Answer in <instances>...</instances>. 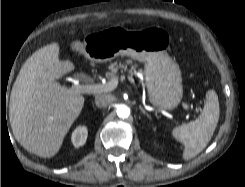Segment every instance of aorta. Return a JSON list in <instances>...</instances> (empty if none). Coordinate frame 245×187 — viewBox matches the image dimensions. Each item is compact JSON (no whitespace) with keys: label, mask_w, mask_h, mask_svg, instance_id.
<instances>
[{"label":"aorta","mask_w":245,"mask_h":187,"mask_svg":"<svg viewBox=\"0 0 245 187\" xmlns=\"http://www.w3.org/2000/svg\"><path fill=\"white\" fill-rule=\"evenodd\" d=\"M117 115L120 118H126L130 115V109L128 106L121 104L117 107Z\"/></svg>","instance_id":"1"}]
</instances>
